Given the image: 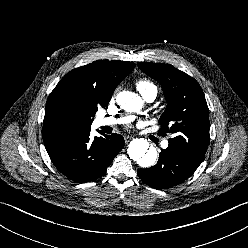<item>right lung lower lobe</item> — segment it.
<instances>
[{"label": "right lung lower lobe", "instance_id": "obj_1", "mask_svg": "<svg viewBox=\"0 0 248 248\" xmlns=\"http://www.w3.org/2000/svg\"><path fill=\"white\" fill-rule=\"evenodd\" d=\"M90 130L78 131L44 142L55 167L73 181L84 183L103 176L124 147L119 134L90 140Z\"/></svg>", "mask_w": 248, "mask_h": 248}]
</instances>
